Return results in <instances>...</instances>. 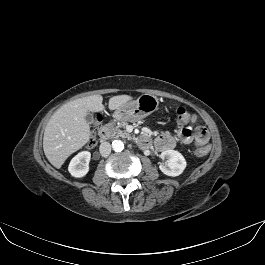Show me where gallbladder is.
Returning a JSON list of instances; mask_svg holds the SVG:
<instances>
[{
  "label": "gallbladder",
  "mask_w": 265,
  "mask_h": 265,
  "mask_svg": "<svg viewBox=\"0 0 265 265\" xmlns=\"http://www.w3.org/2000/svg\"><path fill=\"white\" fill-rule=\"evenodd\" d=\"M85 120L87 121L88 124H92L94 123V116L92 113L87 112L86 116H85Z\"/></svg>",
  "instance_id": "gallbladder-1"
}]
</instances>
